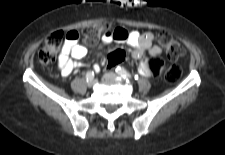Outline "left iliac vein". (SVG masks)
Listing matches in <instances>:
<instances>
[{
  "instance_id": "left-iliac-vein-1",
  "label": "left iliac vein",
  "mask_w": 225,
  "mask_h": 155,
  "mask_svg": "<svg viewBox=\"0 0 225 155\" xmlns=\"http://www.w3.org/2000/svg\"><path fill=\"white\" fill-rule=\"evenodd\" d=\"M117 77V75L115 73L112 72H108L104 74V78L105 79H115Z\"/></svg>"
}]
</instances>
